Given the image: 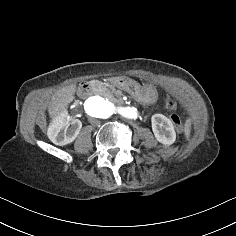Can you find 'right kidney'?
<instances>
[{
	"instance_id": "right-kidney-1",
	"label": "right kidney",
	"mask_w": 236,
	"mask_h": 236,
	"mask_svg": "<svg viewBox=\"0 0 236 236\" xmlns=\"http://www.w3.org/2000/svg\"><path fill=\"white\" fill-rule=\"evenodd\" d=\"M81 129L82 123L80 120L64 121L62 118L54 122V125L48 131V135L55 145L65 146L76 140Z\"/></svg>"
}]
</instances>
